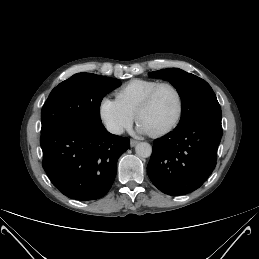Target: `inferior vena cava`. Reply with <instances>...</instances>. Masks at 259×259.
Returning <instances> with one entry per match:
<instances>
[{
    "mask_svg": "<svg viewBox=\"0 0 259 259\" xmlns=\"http://www.w3.org/2000/svg\"><path fill=\"white\" fill-rule=\"evenodd\" d=\"M107 130L110 132V133H113V134H117V135H120L124 132V129L123 127H121L120 125L118 124H108L107 125Z\"/></svg>",
    "mask_w": 259,
    "mask_h": 259,
    "instance_id": "obj_1",
    "label": "inferior vena cava"
}]
</instances>
